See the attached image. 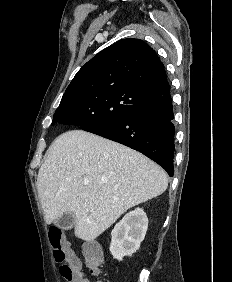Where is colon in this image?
Listing matches in <instances>:
<instances>
[{
    "label": "colon",
    "instance_id": "obj_1",
    "mask_svg": "<svg viewBox=\"0 0 232 282\" xmlns=\"http://www.w3.org/2000/svg\"><path fill=\"white\" fill-rule=\"evenodd\" d=\"M49 240L53 249V256L56 262L60 263V275L68 282L81 281L82 271L81 264L66 249L63 241L62 230L52 227L49 230ZM85 265L90 268L94 274H99V266L101 264V253L95 245H87L84 250Z\"/></svg>",
    "mask_w": 232,
    "mask_h": 282
}]
</instances>
